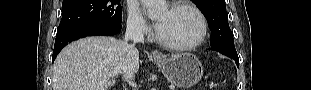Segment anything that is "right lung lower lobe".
Masks as SVG:
<instances>
[{
    "label": "right lung lower lobe",
    "mask_w": 311,
    "mask_h": 90,
    "mask_svg": "<svg viewBox=\"0 0 311 90\" xmlns=\"http://www.w3.org/2000/svg\"><path fill=\"white\" fill-rule=\"evenodd\" d=\"M122 28L121 24L105 25V24H88L78 26L62 33H57L55 39V46L53 51L52 62H54L56 56L61 49L71 41L86 37V36H111L118 33Z\"/></svg>",
    "instance_id": "right-lung-lower-lobe-1"
}]
</instances>
